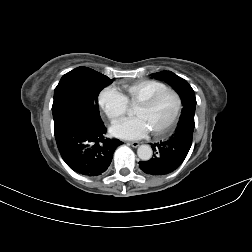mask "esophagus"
Wrapping results in <instances>:
<instances>
[{
    "label": "esophagus",
    "mask_w": 252,
    "mask_h": 252,
    "mask_svg": "<svg viewBox=\"0 0 252 252\" xmlns=\"http://www.w3.org/2000/svg\"><path fill=\"white\" fill-rule=\"evenodd\" d=\"M128 144L131 145L134 148H136V147H138L140 145V143L137 142V141L129 142Z\"/></svg>",
    "instance_id": "esophagus-1"
}]
</instances>
